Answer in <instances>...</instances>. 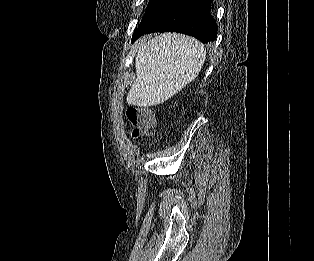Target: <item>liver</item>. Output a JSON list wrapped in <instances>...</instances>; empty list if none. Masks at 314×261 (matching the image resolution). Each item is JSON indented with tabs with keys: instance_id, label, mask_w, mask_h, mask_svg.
<instances>
[{
	"instance_id": "6515ba94",
	"label": "liver",
	"mask_w": 314,
	"mask_h": 261,
	"mask_svg": "<svg viewBox=\"0 0 314 261\" xmlns=\"http://www.w3.org/2000/svg\"><path fill=\"white\" fill-rule=\"evenodd\" d=\"M205 58L204 45L186 35L163 33L139 41L136 79L127 103L138 107L163 103L198 76Z\"/></svg>"
}]
</instances>
